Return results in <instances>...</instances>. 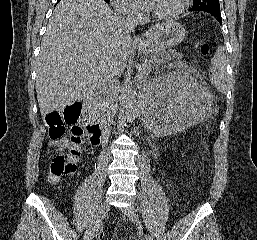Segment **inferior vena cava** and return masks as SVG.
I'll return each instance as SVG.
<instances>
[{"mask_svg":"<svg viewBox=\"0 0 257 240\" xmlns=\"http://www.w3.org/2000/svg\"><path fill=\"white\" fill-rule=\"evenodd\" d=\"M136 10L130 6L125 7L119 21V31L126 35L133 31L137 26ZM120 82L118 78H111L101 85V97L103 102L102 127L106 137L109 136L111 125L118 108V94Z\"/></svg>","mask_w":257,"mask_h":240,"instance_id":"1","label":"inferior vena cava"}]
</instances>
